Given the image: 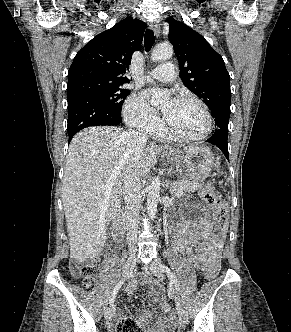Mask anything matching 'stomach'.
<instances>
[{"mask_svg":"<svg viewBox=\"0 0 291 332\" xmlns=\"http://www.w3.org/2000/svg\"><path fill=\"white\" fill-rule=\"evenodd\" d=\"M167 160L184 170L193 180L207 178L215 166V158L211 150L203 146L168 148L164 150Z\"/></svg>","mask_w":291,"mask_h":332,"instance_id":"obj_1","label":"stomach"}]
</instances>
